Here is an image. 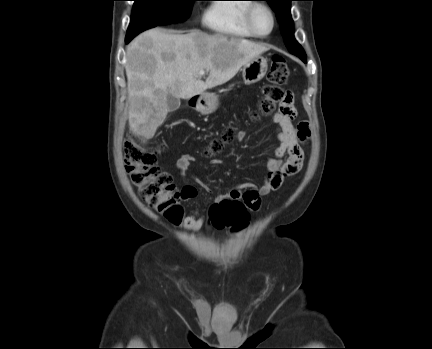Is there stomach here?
<instances>
[{
    "label": "stomach",
    "mask_w": 432,
    "mask_h": 349,
    "mask_svg": "<svg viewBox=\"0 0 432 349\" xmlns=\"http://www.w3.org/2000/svg\"><path fill=\"white\" fill-rule=\"evenodd\" d=\"M268 69L267 59L257 56L243 66L242 77L247 85L260 81ZM219 98L215 93L205 92L199 95L196 100L195 108L203 115H208L217 110Z\"/></svg>",
    "instance_id": "stomach-1"
}]
</instances>
